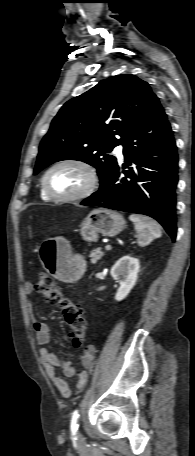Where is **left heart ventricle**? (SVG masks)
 <instances>
[{
	"mask_svg": "<svg viewBox=\"0 0 195 456\" xmlns=\"http://www.w3.org/2000/svg\"><path fill=\"white\" fill-rule=\"evenodd\" d=\"M50 190L57 195L67 196L82 191L88 183L84 169L76 165H63L55 168L47 179Z\"/></svg>",
	"mask_w": 195,
	"mask_h": 456,
	"instance_id": "left-heart-ventricle-1",
	"label": "left heart ventricle"
}]
</instances>
